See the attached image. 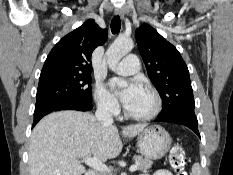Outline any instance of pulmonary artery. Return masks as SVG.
<instances>
[{
	"label": "pulmonary artery",
	"instance_id": "1",
	"mask_svg": "<svg viewBox=\"0 0 233 175\" xmlns=\"http://www.w3.org/2000/svg\"><path fill=\"white\" fill-rule=\"evenodd\" d=\"M140 62L135 54H129L115 67L114 71L121 75H132L139 70Z\"/></svg>",
	"mask_w": 233,
	"mask_h": 175
}]
</instances>
